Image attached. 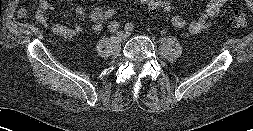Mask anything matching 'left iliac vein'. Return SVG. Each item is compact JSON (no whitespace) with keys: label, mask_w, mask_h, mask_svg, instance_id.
Here are the masks:
<instances>
[{"label":"left iliac vein","mask_w":253,"mask_h":131,"mask_svg":"<svg viewBox=\"0 0 253 131\" xmlns=\"http://www.w3.org/2000/svg\"><path fill=\"white\" fill-rule=\"evenodd\" d=\"M125 34H126V37H128L130 36L131 33L129 31H126Z\"/></svg>","instance_id":"4c4485c4"}]
</instances>
